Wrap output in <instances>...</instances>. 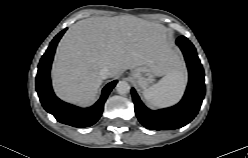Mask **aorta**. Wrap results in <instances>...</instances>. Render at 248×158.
<instances>
[{"mask_svg":"<svg viewBox=\"0 0 248 158\" xmlns=\"http://www.w3.org/2000/svg\"><path fill=\"white\" fill-rule=\"evenodd\" d=\"M116 90L121 95L127 94L130 91V85L126 81H119L116 85Z\"/></svg>","mask_w":248,"mask_h":158,"instance_id":"1","label":"aorta"}]
</instances>
